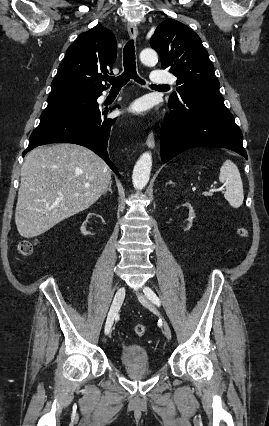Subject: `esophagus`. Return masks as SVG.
I'll list each match as a JSON object with an SVG mask.
<instances>
[{"label":"esophagus","instance_id":"esophagus-1","mask_svg":"<svg viewBox=\"0 0 269 426\" xmlns=\"http://www.w3.org/2000/svg\"><path fill=\"white\" fill-rule=\"evenodd\" d=\"M127 29H128L129 36L135 40L138 37V29L136 25L133 23H129ZM146 145L149 148H154L155 146L154 134L152 132L149 133L146 139Z\"/></svg>","mask_w":269,"mask_h":426}]
</instances>
